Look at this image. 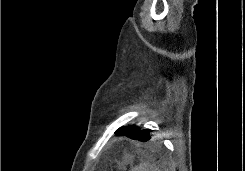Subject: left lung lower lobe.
I'll return each instance as SVG.
<instances>
[{
	"instance_id": "left-lung-lower-lobe-1",
	"label": "left lung lower lobe",
	"mask_w": 245,
	"mask_h": 171,
	"mask_svg": "<svg viewBox=\"0 0 245 171\" xmlns=\"http://www.w3.org/2000/svg\"><path fill=\"white\" fill-rule=\"evenodd\" d=\"M115 134L119 136H126L134 140L146 142L151 139L149 130H139L135 127H121L115 131Z\"/></svg>"
}]
</instances>
